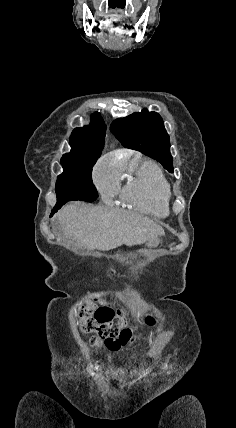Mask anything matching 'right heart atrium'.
<instances>
[{"mask_svg":"<svg viewBox=\"0 0 236 428\" xmlns=\"http://www.w3.org/2000/svg\"><path fill=\"white\" fill-rule=\"evenodd\" d=\"M93 182L104 201H110L118 194V174L106 160L100 161L94 167Z\"/></svg>","mask_w":236,"mask_h":428,"instance_id":"1","label":"right heart atrium"}]
</instances>
